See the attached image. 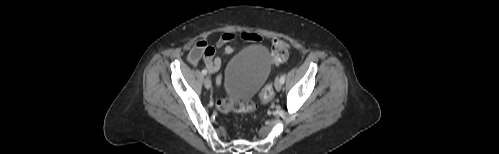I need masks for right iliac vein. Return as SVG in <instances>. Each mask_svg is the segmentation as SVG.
Listing matches in <instances>:
<instances>
[{"label":"right iliac vein","mask_w":499,"mask_h":154,"mask_svg":"<svg viewBox=\"0 0 499 154\" xmlns=\"http://www.w3.org/2000/svg\"><path fill=\"white\" fill-rule=\"evenodd\" d=\"M204 86L206 89H210L211 88V80L206 77L205 80H204Z\"/></svg>","instance_id":"right-iliac-vein-1"}]
</instances>
